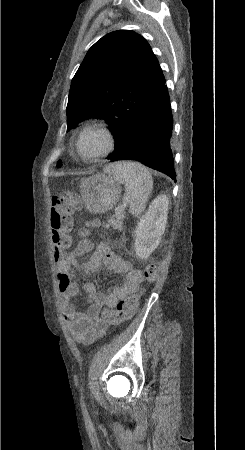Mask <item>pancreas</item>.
I'll return each instance as SVG.
<instances>
[{"label": "pancreas", "mask_w": 245, "mask_h": 450, "mask_svg": "<svg viewBox=\"0 0 245 450\" xmlns=\"http://www.w3.org/2000/svg\"><path fill=\"white\" fill-rule=\"evenodd\" d=\"M124 218V214L122 212L115 213L108 221L109 224L112 225L114 229L122 230V220Z\"/></svg>", "instance_id": "pancreas-1"}]
</instances>
